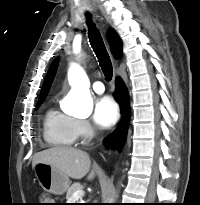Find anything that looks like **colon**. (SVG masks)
I'll return each mask as SVG.
<instances>
[{
    "mask_svg": "<svg viewBox=\"0 0 200 205\" xmlns=\"http://www.w3.org/2000/svg\"><path fill=\"white\" fill-rule=\"evenodd\" d=\"M53 200L50 195L48 194H41L39 198L38 205H53Z\"/></svg>",
    "mask_w": 200,
    "mask_h": 205,
    "instance_id": "colon-1",
    "label": "colon"
}]
</instances>
